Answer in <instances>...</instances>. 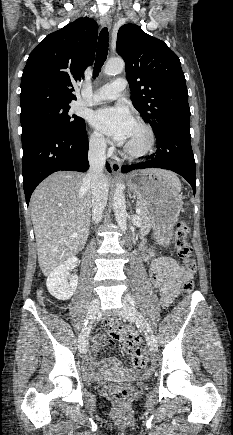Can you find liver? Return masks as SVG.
Listing matches in <instances>:
<instances>
[{
	"label": "liver",
	"instance_id": "liver-1",
	"mask_svg": "<svg viewBox=\"0 0 233 435\" xmlns=\"http://www.w3.org/2000/svg\"><path fill=\"white\" fill-rule=\"evenodd\" d=\"M142 172L168 176L180 186L179 179L170 171L148 169ZM90 188L91 183L83 173L59 171L47 177L33 192L29 207L38 263L45 276L84 248L90 229ZM73 233L78 236L73 238Z\"/></svg>",
	"mask_w": 233,
	"mask_h": 435
}]
</instances>
